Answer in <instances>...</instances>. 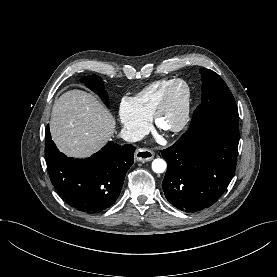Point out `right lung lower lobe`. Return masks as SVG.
<instances>
[{"instance_id": "obj_1", "label": "right lung lower lobe", "mask_w": 277, "mask_h": 277, "mask_svg": "<svg viewBox=\"0 0 277 277\" xmlns=\"http://www.w3.org/2000/svg\"><path fill=\"white\" fill-rule=\"evenodd\" d=\"M45 138L50 179L70 206L93 214L115 203L134 162V146L109 142L91 157L75 160L57 149L48 126Z\"/></svg>"}]
</instances>
